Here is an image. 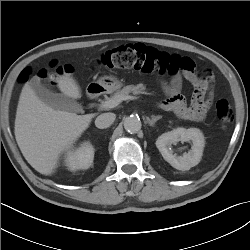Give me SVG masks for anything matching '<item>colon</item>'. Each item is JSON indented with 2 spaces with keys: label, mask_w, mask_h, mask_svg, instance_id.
I'll use <instances>...</instances> for the list:
<instances>
[{
  "label": "colon",
  "mask_w": 250,
  "mask_h": 250,
  "mask_svg": "<svg viewBox=\"0 0 250 250\" xmlns=\"http://www.w3.org/2000/svg\"><path fill=\"white\" fill-rule=\"evenodd\" d=\"M98 66L106 69H134L140 72H158L162 75L179 76L191 72L194 68L191 60L143 44H126L112 48L104 52L97 59ZM69 72L66 66L54 65L50 72H42L40 76L47 79L51 84H55L59 75ZM199 74V79L195 83L192 94V102L206 100L211 89V76L208 72ZM30 75L28 69L23 70L18 80L27 81ZM215 112L218 121L223 127H227L233 121L234 115L231 104L220 99L215 104Z\"/></svg>",
  "instance_id": "colon-1"
}]
</instances>
